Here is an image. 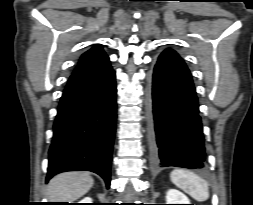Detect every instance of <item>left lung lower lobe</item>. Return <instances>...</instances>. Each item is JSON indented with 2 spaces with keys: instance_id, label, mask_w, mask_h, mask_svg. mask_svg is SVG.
Masks as SVG:
<instances>
[{
  "instance_id": "0a47b994",
  "label": "left lung lower lobe",
  "mask_w": 253,
  "mask_h": 205,
  "mask_svg": "<svg viewBox=\"0 0 253 205\" xmlns=\"http://www.w3.org/2000/svg\"><path fill=\"white\" fill-rule=\"evenodd\" d=\"M151 154L162 167L204 168L205 148L192 76L172 49L158 58L150 84Z\"/></svg>"
}]
</instances>
